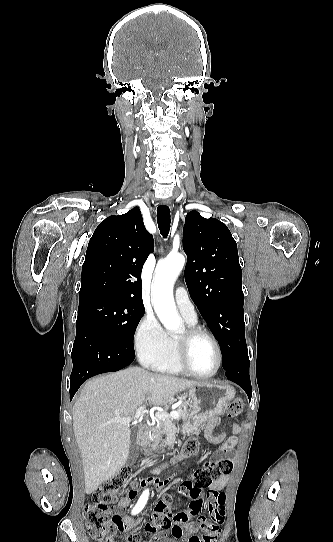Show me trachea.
Wrapping results in <instances>:
<instances>
[{
  "mask_svg": "<svg viewBox=\"0 0 333 542\" xmlns=\"http://www.w3.org/2000/svg\"><path fill=\"white\" fill-rule=\"evenodd\" d=\"M157 221L160 233L167 237L170 229V209L167 205H159L157 208Z\"/></svg>",
  "mask_w": 333,
  "mask_h": 542,
  "instance_id": "obj_1",
  "label": "trachea"
}]
</instances>
